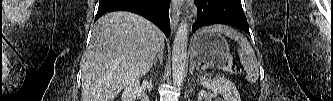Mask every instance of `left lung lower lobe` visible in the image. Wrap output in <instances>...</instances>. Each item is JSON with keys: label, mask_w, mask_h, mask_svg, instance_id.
I'll return each instance as SVG.
<instances>
[{"label": "left lung lower lobe", "mask_w": 333, "mask_h": 101, "mask_svg": "<svg viewBox=\"0 0 333 101\" xmlns=\"http://www.w3.org/2000/svg\"><path fill=\"white\" fill-rule=\"evenodd\" d=\"M199 19L193 24L195 32L203 26L227 24L249 33L248 23L241 0H195Z\"/></svg>", "instance_id": "1"}]
</instances>
